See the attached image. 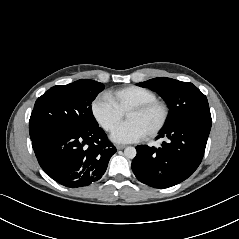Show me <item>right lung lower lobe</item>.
I'll use <instances>...</instances> for the list:
<instances>
[{
  "label": "right lung lower lobe",
  "mask_w": 239,
  "mask_h": 239,
  "mask_svg": "<svg viewBox=\"0 0 239 239\" xmlns=\"http://www.w3.org/2000/svg\"><path fill=\"white\" fill-rule=\"evenodd\" d=\"M32 146L44 172L70 188L99 180L116 152L99 126L88 130H45L32 140Z\"/></svg>",
  "instance_id": "obj_1"
}]
</instances>
